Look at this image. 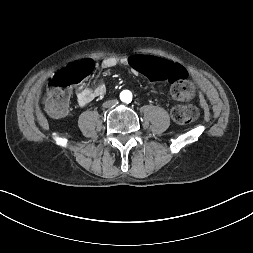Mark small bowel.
<instances>
[{
	"label": "small bowel",
	"instance_id": "small-bowel-1",
	"mask_svg": "<svg viewBox=\"0 0 253 253\" xmlns=\"http://www.w3.org/2000/svg\"><path fill=\"white\" fill-rule=\"evenodd\" d=\"M131 56H125V57H115V56H109L105 57L101 61V66L105 69L113 68L118 65H124L129 67V59ZM164 60V59H163ZM167 61V60H165ZM106 93V87L103 84H98L94 88L89 87H82L77 90L76 92V98L77 102L80 106H85L89 104L91 101H93L96 98H99L103 96Z\"/></svg>",
	"mask_w": 253,
	"mask_h": 253
}]
</instances>
